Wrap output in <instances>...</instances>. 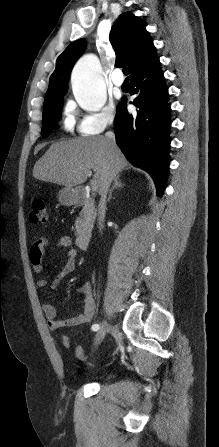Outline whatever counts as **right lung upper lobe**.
<instances>
[{
  "label": "right lung upper lobe",
  "mask_w": 219,
  "mask_h": 447,
  "mask_svg": "<svg viewBox=\"0 0 219 447\" xmlns=\"http://www.w3.org/2000/svg\"><path fill=\"white\" fill-rule=\"evenodd\" d=\"M110 42L116 54L115 66L128 65L130 78L158 59L153 41L146 30V23L130 12L121 14L114 23ZM84 47L83 39L76 40L58 57L45 99L66 93L70 71Z\"/></svg>",
  "instance_id": "1"
}]
</instances>
